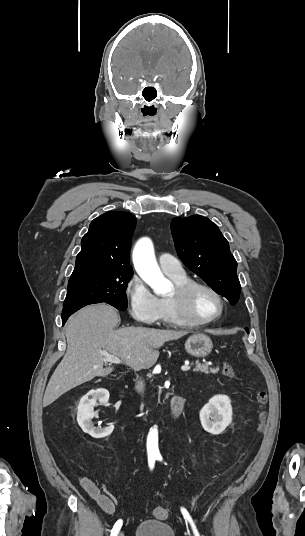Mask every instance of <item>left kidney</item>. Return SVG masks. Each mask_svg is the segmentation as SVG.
<instances>
[{
    "label": "left kidney",
    "mask_w": 305,
    "mask_h": 536,
    "mask_svg": "<svg viewBox=\"0 0 305 536\" xmlns=\"http://www.w3.org/2000/svg\"><path fill=\"white\" fill-rule=\"evenodd\" d=\"M201 424L209 434H221L232 422V406L228 396H213L200 410Z\"/></svg>",
    "instance_id": "1"
}]
</instances>
